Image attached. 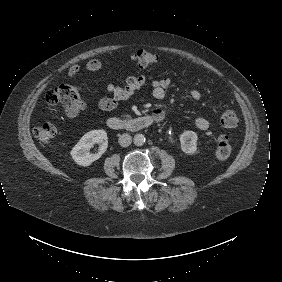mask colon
Listing matches in <instances>:
<instances>
[{
	"instance_id": "colon-1",
	"label": "colon",
	"mask_w": 282,
	"mask_h": 282,
	"mask_svg": "<svg viewBox=\"0 0 282 282\" xmlns=\"http://www.w3.org/2000/svg\"><path fill=\"white\" fill-rule=\"evenodd\" d=\"M158 62V55L150 50H139L134 55V64L138 68H146ZM46 102L50 107L69 106L80 102L81 89L78 86L61 83L46 94ZM219 121L224 128H235L239 123L236 112L232 109H223L219 115ZM58 135V128L53 123H45L35 131L36 138L49 144ZM232 153L231 140L225 135H219L215 141V157L219 161L227 160Z\"/></svg>"
}]
</instances>
